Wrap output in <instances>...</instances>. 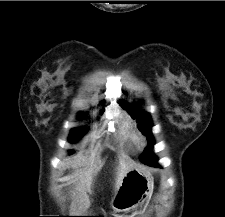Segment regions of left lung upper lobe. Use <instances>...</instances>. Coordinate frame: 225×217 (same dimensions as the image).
I'll return each instance as SVG.
<instances>
[{"instance_id":"left-lung-upper-lobe-1","label":"left lung upper lobe","mask_w":225,"mask_h":217,"mask_svg":"<svg viewBox=\"0 0 225 217\" xmlns=\"http://www.w3.org/2000/svg\"><path fill=\"white\" fill-rule=\"evenodd\" d=\"M119 103L122 107H124L132 115V117L134 119L136 118L137 122L139 123L138 128L141 131H143L144 135L147 136L148 141L149 142L152 141L153 138L151 136V131H150V129L152 127V121H151L150 115L146 112L140 111L138 105H128L123 100H120ZM142 157H146V155L142 154L140 156V159Z\"/></svg>"}]
</instances>
